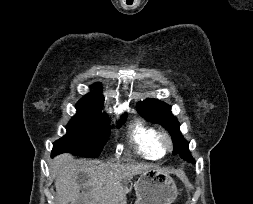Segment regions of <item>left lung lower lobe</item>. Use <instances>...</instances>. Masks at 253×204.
<instances>
[{"label":"left lung lower lobe","mask_w":253,"mask_h":204,"mask_svg":"<svg viewBox=\"0 0 253 204\" xmlns=\"http://www.w3.org/2000/svg\"><path fill=\"white\" fill-rule=\"evenodd\" d=\"M187 161H191V162H193V163H194V160L192 159V157H191V156H189V157L187 158Z\"/></svg>","instance_id":"left-lung-lower-lobe-1"}]
</instances>
